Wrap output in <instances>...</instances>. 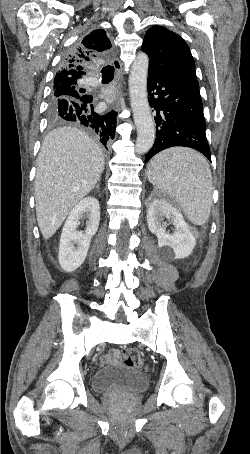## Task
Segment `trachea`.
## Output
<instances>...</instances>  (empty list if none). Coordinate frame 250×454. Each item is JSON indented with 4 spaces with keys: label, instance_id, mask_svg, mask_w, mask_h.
I'll use <instances>...</instances> for the list:
<instances>
[{
    "label": "trachea",
    "instance_id": "1",
    "mask_svg": "<svg viewBox=\"0 0 250 454\" xmlns=\"http://www.w3.org/2000/svg\"><path fill=\"white\" fill-rule=\"evenodd\" d=\"M103 83H109L114 78V67L105 66L101 70Z\"/></svg>",
    "mask_w": 250,
    "mask_h": 454
}]
</instances>
